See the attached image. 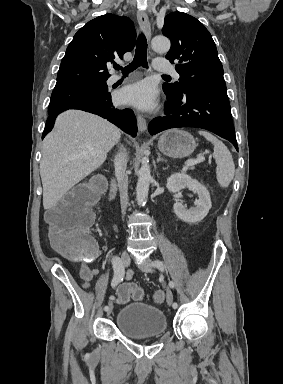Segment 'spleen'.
I'll use <instances>...</instances> for the list:
<instances>
[{
	"mask_svg": "<svg viewBox=\"0 0 283 384\" xmlns=\"http://www.w3.org/2000/svg\"><path fill=\"white\" fill-rule=\"evenodd\" d=\"M200 136H204L208 142H212L214 146L213 156L217 164L216 178L221 188H228L235 174V164L233 158L223 142L217 140L215 136L209 132H199Z\"/></svg>",
	"mask_w": 283,
	"mask_h": 384,
	"instance_id": "1",
	"label": "spleen"
}]
</instances>
